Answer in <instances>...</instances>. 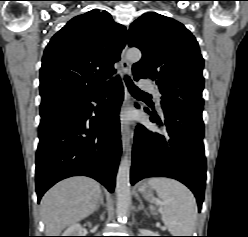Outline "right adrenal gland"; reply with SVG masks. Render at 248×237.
<instances>
[{
    "label": "right adrenal gland",
    "mask_w": 248,
    "mask_h": 237,
    "mask_svg": "<svg viewBox=\"0 0 248 237\" xmlns=\"http://www.w3.org/2000/svg\"><path fill=\"white\" fill-rule=\"evenodd\" d=\"M101 205H104V197H103V194L100 195V199H99V201H98V203H97V206H96V208H95V211H98V209H99V207H100Z\"/></svg>",
    "instance_id": "obj_1"
}]
</instances>
